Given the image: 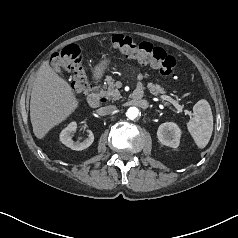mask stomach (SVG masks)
Instances as JSON below:
<instances>
[{
	"label": "stomach",
	"mask_w": 238,
	"mask_h": 238,
	"mask_svg": "<svg viewBox=\"0 0 238 238\" xmlns=\"http://www.w3.org/2000/svg\"><path fill=\"white\" fill-rule=\"evenodd\" d=\"M110 64V60L109 59H104L101 61V63L99 64V66L96 69V73L97 74H101Z\"/></svg>",
	"instance_id": "1"
}]
</instances>
